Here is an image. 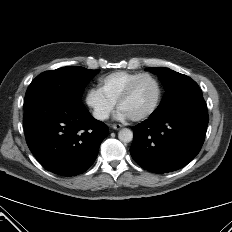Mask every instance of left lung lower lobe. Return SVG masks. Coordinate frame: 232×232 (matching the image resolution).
Here are the masks:
<instances>
[{
	"mask_svg": "<svg viewBox=\"0 0 232 232\" xmlns=\"http://www.w3.org/2000/svg\"><path fill=\"white\" fill-rule=\"evenodd\" d=\"M208 120L201 90L191 93L134 127L131 156L154 173L178 170L199 153Z\"/></svg>",
	"mask_w": 232,
	"mask_h": 232,
	"instance_id": "0a47b994",
	"label": "left lung lower lobe"
}]
</instances>
